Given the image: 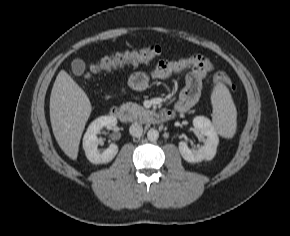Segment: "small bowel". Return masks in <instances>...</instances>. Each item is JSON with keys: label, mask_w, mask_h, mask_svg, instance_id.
Returning a JSON list of instances; mask_svg holds the SVG:
<instances>
[{"label": "small bowel", "mask_w": 290, "mask_h": 236, "mask_svg": "<svg viewBox=\"0 0 290 236\" xmlns=\"http://www.w3.org/2000/svg\"><path fill=\"white\" fill-rule=\"evenodd\" d=\"M212 70L213 65L206 56L192 53L177 60H162L148 73L135 72L130 76L128 83L132 90L143 91L153 80L186 73L185 87L174 105L175 110L185 111L200 99L203 80Z\"/></svg>", "instance_id": "1"}]
</instances>
